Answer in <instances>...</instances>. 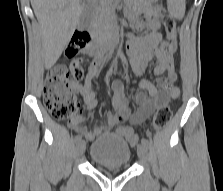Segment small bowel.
<instances>
[{
    "label": "small bowel",
    "mask_w": 223,
    "mask_h": 191,
    "mask_svg": "<svg viewBox=\"0 0 223 191\" xmlns=\"http://www.w3.org/2000/svg\"><path fill=\"white\" fill-rule=\"evenodd\" d=\"M147 18H144L139 27L147 29L148 32L142 37H134L130 40L129 51L131 56V67L137 76L143 74L148 66L151 58H155L157 63L154 67V75L158 77L157 82L160 86L158 89L154 83L148 79H141L138 82V87L148 93V97L142 93L137 95L138 108L135 112L132 111L131 105L126 98L123 85L119 80L113 81L111 89L113 92V107L114 111L107 114L106 122L94 130H88L83 127L85 122L83 115L75 116L70 123L71 128L83 135L87 140H94L106 131H110L114 127H119L125 121H131L133 124L143 123L152 112L168 99H176L179 97V89L173 85L176 80V72H166L164 55L158 49L160 42L163 39L161 31V11L158 8L147 6ZM173 44L171 54L173 57ZM106 56H99L93 59L90 64L87 75L83 82L73 84L75 92L80 94L83 101L89 110H94L97 106L96 94L92 90L91 82L96 76L98 67L105 61ZM167 74L166 78L160 76ZM120 129V128H119Z\"/></svg>",
    "instance_id": "small-bowel-1"
}]
</instances>
